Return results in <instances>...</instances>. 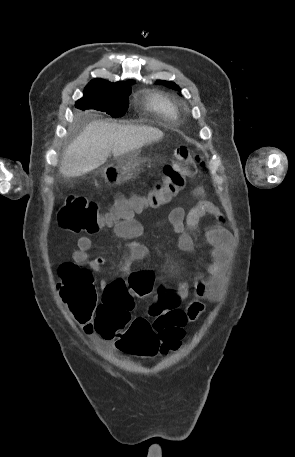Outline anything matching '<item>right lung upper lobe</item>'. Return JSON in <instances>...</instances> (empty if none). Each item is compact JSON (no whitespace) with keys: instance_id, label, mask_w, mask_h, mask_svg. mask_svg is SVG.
I'll return each instance as SVG.
<instances>
[{"instance_id":"1","label":"right lung upper lobe","mask_w":295,"mask_h":457,"mask_svg":"<svg viewBox=\"0 0 295 457\" xmlns=\"http://www.w3.org/2000/svg\"><path fill=\"white\" fill-rule=\"evenodd\" d=\"M129 83L133 84L134 81L131 80ZM127 87H130L127 82L111 83L102 79H94L86 86L85 90L115 91Z\"/></svg>"}]
</instances>
